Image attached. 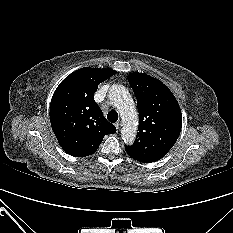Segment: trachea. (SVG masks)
Returning <instances> with one entry per match:
<instances>
[{"instance_id": "1", "label": "trachea", "mask_w": 233, "mask_h": 233, "mask_svg": "<svg viewBox=\"0 0 233 233\" xmlns=\"http://www.w3.org/2000/svg\"><path fill=\"white\" fill-rule=\"evenodd\" d=\"M107 118L110 122L115 123L118 120V113L115 110H111L108 113Z\"/></svg>"}]
</instances>
